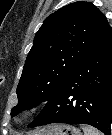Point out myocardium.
I'll return each instance as SVG.
<instances>
[{"label":"myocardium","mask_w":112,"mask_h":135,"mask_svg":"<svg viewBox=\"0 0 112 135\" xmlns=\"http://www.w3.org/2000/svg\"><path fill=\"white\" fill-rule=\"evenodd\" d=\"M37 111V106L34 104L28 105L25 109H24V114L26 116H31L33 115L35 112Z\"/></svg>","instance_id":"myocardium-1"}]
</instances>
